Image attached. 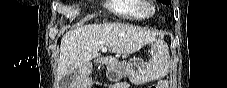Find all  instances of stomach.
<instances>
[{
  "label": "stomach",
  "instance_id": "stomach-1",
  "mask_svg": "<svg viewBox=\"0 0 227 88\" xmlns=\"http://www.w3.org/2000/svg\"><path fill=\"white\" fill-rule=\"evenodd\" d=\"M152 57L146 63L139 60H132L126 65L120 63L113 57L104 59L108 67V74L114 81H119L128 76L134 84H144L157 80L168 73L169 70V50L167 45L156 40L151 44Z\"/></svg>",
  "mask_w": 227,
  "mask_h": 88
}]
</instances>
